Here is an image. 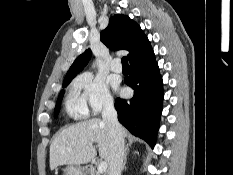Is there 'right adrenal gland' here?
Returning a JSON list of instances; mask_svg holds the SVG:
<instances>
[{"instance_id":"2a0ac1e0","label":"right adrenal gland","mask_w":233,"mask_h":175,"mask_svg":"<svg viewBox=\"0 0 233 175\" xmlns=\"http://www.w3.org/2000/svg\"><path fill=\"white\" fill-rule=\"evenodd\" d=\"M128 152H129V148L126 149V153L124 155V162H123V165H122V171L125 169V165H126V161H127V156H128ZM139 155L138 152H134L133 155Z\"/></svg>"}]
</instances>
